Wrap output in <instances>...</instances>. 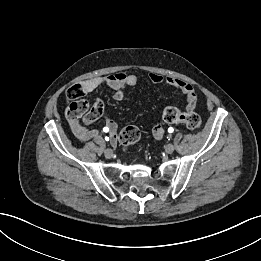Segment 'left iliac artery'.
Segmentation results:
<instances>
[{"label": "left iliac artery", "instance_id": "obj_1", "mask_svg": "<svg viewBox=\"0 0 261 261\" xmlns=\"http://www.w3.org/2000/svg\"><path fill=\"white\" fill-rule=\"evenodd\" d=\"M173 131H174V129H173L172 127H169V128H168V132H169V133H172ZM167 138H171V137H167ZM169 140H170V139H169Z\"/></svg>", "mask_w": 261, "mask_h": 261}]
</instances>
